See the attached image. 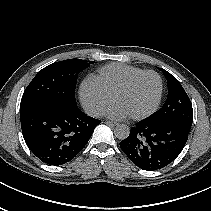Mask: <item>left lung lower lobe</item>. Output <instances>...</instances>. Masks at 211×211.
I'll return each mask as SVG.
<instances>
[{"instance_id": "0a47b994", "label": "left lung lower lobe", "mask_w": 211, "mask_h": 211, "mask_svg": "<svg viewBox=\"0 0 211 211\" xmlns=\"http://www.w3.org/2000/svg\"><path fill=\"white\" fill-rule=\"evenodd\" d=\"M190 128L173 122L142 120L120 142L122 151L139 168L154 171L170 164L183 150Z\"/></svg>"}]
</instances>
